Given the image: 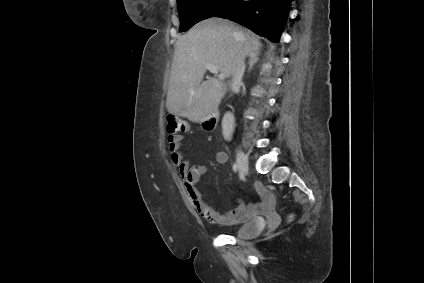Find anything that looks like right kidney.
<instances>
[{"instance_id": "obj_1", "label": "right kidney", "mask_w": 424, "mask_h": 283, "mask_svg": "<svg viewBox=\"0 0 424 283\" xmlns=\"http://www.w3.org/2000/svg\"><path fill=\"white\" fill-rule=\"evenodd\" d=\"M234 130V116L227 112L222 119V134L226 140H231Z\"/></svg>"}]
</instances>
